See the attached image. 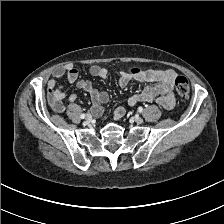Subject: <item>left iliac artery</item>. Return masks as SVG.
Here are the masks:
<instances>
[{"label": "left iliac artery", "instance_id": "44dca946", "mask_svg": "<svg viewBox=\"0 0 224 224\" xmlns=\"http://www.w3.org/2000/svg\"><path fill=\"white\" fill-rule=\"evenodd\" d=\"M142 111H143V108H142V107H139V108H138V112H139V113H142Z\"/></svg>", "mask_w": 224, "mask_h": 224}]
</instances>
